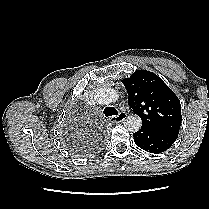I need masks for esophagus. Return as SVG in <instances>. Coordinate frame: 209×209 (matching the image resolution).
<instances>
[{"mask_svg": "<svg viewBox=\"0 0 209 209\" xmlns=\"http://www.w3.org/2000/svg\"><path fill=\"white\" fill-rule=\"evenodd\" d=\"M126 117H127V113L122 111L117 116L110 117V121L113 123H119V122L125 120Z\"/></svg>", "mask_w": 209, "mask_h": 209, "instance_id": "1", "label": "esophagus"}]
</instances>
